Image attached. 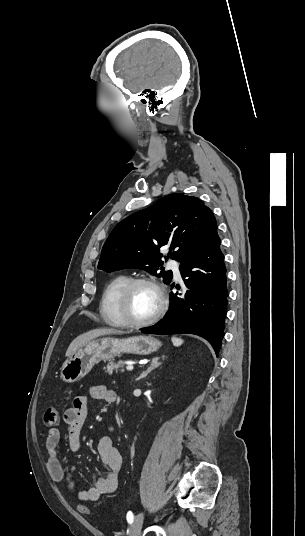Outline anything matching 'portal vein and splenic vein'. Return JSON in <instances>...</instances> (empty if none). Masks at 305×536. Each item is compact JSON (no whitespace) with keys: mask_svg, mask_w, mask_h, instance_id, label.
<instances>
[{"mask_svg":"<svg viewBox=\"0 0 305 536\" xmlns=\"http://www.w3.org/2000/svg\"><path fill=\"white\" fill-rule=\"evenodd\" d=\"M126 370H133V366H131V364H128V366H126Z\"/></svg>","mask_w":305,"mask_h":536,"instance_id":"1","label":"portal vein and splenic vein"}]
</instances>
